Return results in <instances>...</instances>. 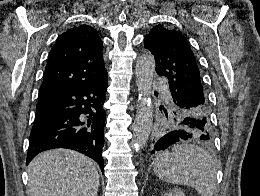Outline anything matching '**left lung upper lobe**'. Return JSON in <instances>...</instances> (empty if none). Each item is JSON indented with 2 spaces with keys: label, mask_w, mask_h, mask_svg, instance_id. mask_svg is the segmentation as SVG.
<instances>
[{
  "label": "left lung upper lobe",
  "mask_w": 260,
  "mask_h": 196,
  "mask_svg": "<svg viewBox=\"0 0 260 196\" xmlns=\"http://www.w3.org/2000/svg\"><path fill=\"white\" fill-rule=\"evenodd\" d=\"M145 48L154 55L156 72L169 80L172 99L160 106L161 113L151 132L149 148L169 132L185 129L184 122H196L190 137L206 142L213 139L209 101L203 87L199 65L185 36L162 25L152 28L144 39ZM188 138V139H189Z\"/></svg>",
  "instance_id": "5c2ea615"
}]
</instances>
